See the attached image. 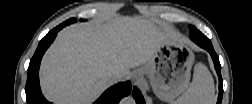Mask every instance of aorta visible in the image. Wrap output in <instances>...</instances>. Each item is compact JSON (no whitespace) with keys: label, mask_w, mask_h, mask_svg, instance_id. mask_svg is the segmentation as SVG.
I'll list each match as a JSON object with an SVG mask.
<instances>
[{"label":"aorta","mask_w":252,"mask_h":104,"mask_svg":"<svg viewBox=\"0 0 252 104\" xmlns=\"http://www.w3.org/2000/svg\"><path fill=\"white\" fill-rule=\"evenodd\" d=\"M133 98H131V97H126V98H124V101H123V103H125V104H131V103H133Z\"/></svg>","instance_id":"obj_1"}]
</instances>
